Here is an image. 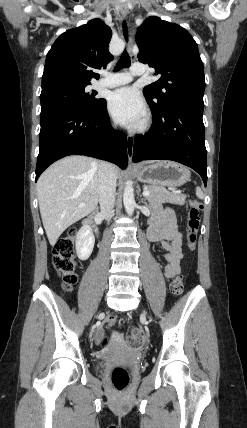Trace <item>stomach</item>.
<instances>
[{"mask_svg":"<svg viewBox=\"0 0 247 428\" xmlns=\"http://www.w3.org/2000/svg\"><path fill=\"white\" fill-rule=\"evenodd\" d=\"M139 181L157 186L180 187L190 178L189 169L173 161H157L135 169Z\"/></svg>","mask_w":247,"mask_h":428,"instance_id":"obj_1","label":"stomach"}]
</instances>
